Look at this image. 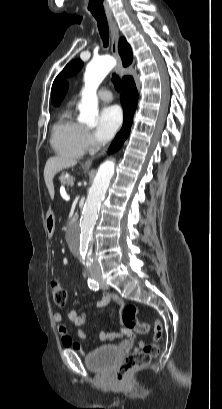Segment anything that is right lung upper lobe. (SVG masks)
I'll list each match as a JSON object with an SVG mask.
<instances>
[{"instance_id":"cb5924a9","label":"right lung upper lobe","mask_w":222,"mask_h":409,"mask_svg":"<svg viewBox=\"0 0 222 409\" xmlns=\"http://www.w3.org/2000/svg\"><path fill=\"white\" fill-rule=\"evenodd\" d=\"M119 54L122 58L124 66H128L132 62V51L130 45L125 38H121L118 45ZM128 77V76H126ZM124 77L123 80L126 78ZM68 90V83L62 82L57 89L55 95V105H59Z\"/></svg>"}]
</instances>
